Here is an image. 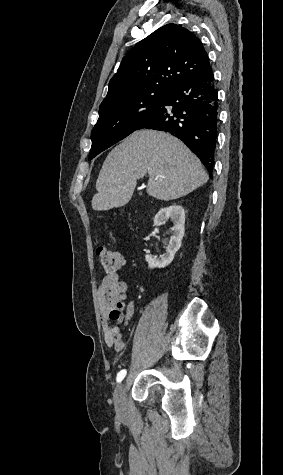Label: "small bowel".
Masks as SVG:
<instances>
[{"label":"small bowel","instance_id":"small-bowel-1","mask_svg":"<svg viewBox=\"0 0 283 475\" xmlns=\"http://www.w3.org/2000/svg\"><path fill=\"white\" fill-rule=\"evenodd\" d=\"M126 292V282L116 273H107L103 276L96 290L104 343L115 352L123 351V328L130 322L135 312L132 302L128 303L124 318L120 311H114L117 304L126 299Z\"/></svg>","mask_w":283,"mask_h":475}]
</instances>
